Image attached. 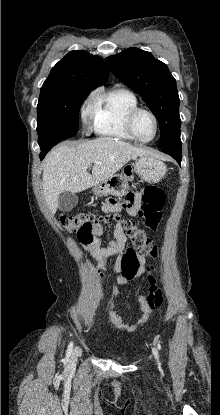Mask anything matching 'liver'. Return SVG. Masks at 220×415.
Here are the masks:
<instances>
[{"instance_id": "1", "label": "liver", "mask_w": 220, "mask_h": 415, "mask_svg": "<svg viewBox=\"0 0 220 415\" xmlns=\"http://www.w3.org/2000/svg\"><path fill=\"white\" fill-rule=\"evenodd\" d=\"M142 156L153 154L111 137L54 148L45 160L42 175L43 194L50 211L56 212L62 192L77 193L91 188L112 177L131 159ZM91 163L92 174L87 171Z\"/></svg>"}]
</instances>
